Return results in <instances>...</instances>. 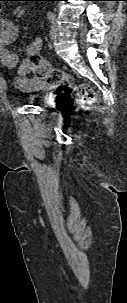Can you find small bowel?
Masks as SVG:
<instances>
[{
	"instance_id": "c3829d8e",
	"label": "small bowel",
	"mask_w": 127,
	"mask_h": 303,
	"mask_svg": "<svg viewBox=\"0 0 127 303\" xmlns=\"http://www.w3.org/2000/svg\"><path fill=\"white\" fill-rule=\"evenodd\" d=\"M19 35V27L13 21L3 18L0 13V64L10 70L17 68L18 77L15 87L20 91H36L43 87V80L35 74L30 63V56L41 51L42 43L36 39L26 49V57L19 62V56L9 46Z\"/></svg>"
}]
</instances>
